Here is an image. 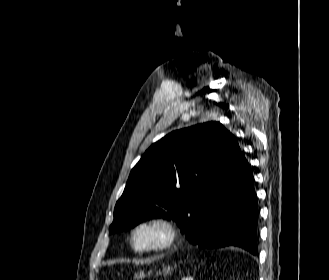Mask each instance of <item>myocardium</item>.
I'll use <instances>...</instances> for the list:
<instances>
[{
    "instance_id": "f54148a6",
    "label": "myocardium",
    "mask_w": 329,
    "mask_h": 280,
    "mask_svg": "<svg viewBox=\"0 0 329 280\" xmlns=\"http://www.w3.org/2000/svg\"><path fill=\"white\" fill-rule=\"evenodd\" d=\"M145 227H158L163 233L162 240L154 245L147 247H138L135 244L136 233ZM178 231L176 225L168 218L162 216H154L145 218L136 223L130 231L129 242L131 248L138 253L149 254L159 253L170 249L176 242Z\"/></svg>"
}]
</instances>
